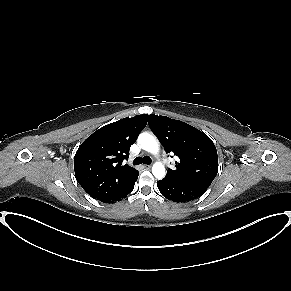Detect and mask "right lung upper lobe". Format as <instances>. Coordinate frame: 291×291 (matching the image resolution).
<instances>
[{
	"mask_svg": "<svg viewBox=\"0 0 291 291\" xmlns=\"http://www.w3.org/2000/svg\"><path fill=\"white\" fill-rule=\"evenodd\" d=\"M147 114L108 124L90 135L74 157L75 176L92 197L104 201L121 192L138 175L128 165L129 148L147 124Z\"/></svg>",
	"mask_w": 291,
	"mask_h": 291,
	"instance_id": "cb5924a9",
	"label": "right lung upper lobe"
}]
</instances>
